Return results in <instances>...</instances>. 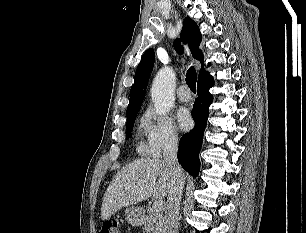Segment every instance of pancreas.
Returning <instances> with one entry per match:
<instances>
[{"instance_id": "1", "label": "pancreas", "mask_w": 306, "mask_h": 233, "mask_svg": "<svg viewBox=\"0 0 306 233\" xmlns=\"http://www.w3.org/2000/svg\"><path fill=\"white\" fill-rule=\"evenodd\" d=\"M147 216L144 227L148 233H166L163 211L155 210L153 206H147Z\"/></svg>"}]
</instances>
